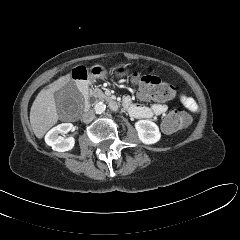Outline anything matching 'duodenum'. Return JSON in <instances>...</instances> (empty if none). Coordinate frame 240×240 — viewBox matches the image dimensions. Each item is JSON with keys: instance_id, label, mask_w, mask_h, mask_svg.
<instances>
[{"instance_id": "1", "label": "duodenum", "mask_w": 240, "mask_h": 240, "mask_svg": "<svg viewBox=\"0 0 240 240\" xmlns=\"http://www.w3.org/2000/svg\"><path fill=\"white\" fill-rule=\"evenodd\" d=\"M77 86L85 98V108H88L89 82L87 77H78ZM109 105L112 110H118L120 108V103L112 97L109 98Z\"/></svg>"}]
</instances>
